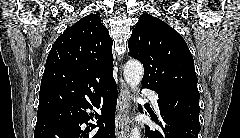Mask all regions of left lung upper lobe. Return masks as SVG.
I'll return each mask as SVG.
<instances>
[{
	"mask_svg": "<svg viewBox=\"0 0 240 138\" xmlns=\"http://www.w3.org/2000/svg\"><path fill=\"white\" fill-rule=\"evenodd\" d=\"M129 56L144 66L143 87L157 94L195 92L194 60L184 39L169 25L142 14L128 42Z\"/></svg>",
	"mask_w": 240,
	"mask_h": 138,
	"instance_id": "left-lung-upper-lobe-1",
	"label": "left lung upper lobe"
}]
</instances>
